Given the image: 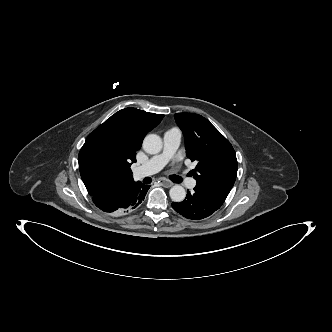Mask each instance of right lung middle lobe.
<instances>
[{"instance_id": "dd1d6c3e", "label": "right lung middle lobe", "mask_w": 332, "mask_h": 332, "mask_svg": "<svg viewBox=\"0 0 332 332\" xmlns=\"http://www.w3.org/2000/svg\"><path fill=\"white\" fill-rule=\"evenodd\" d=\"M125 148L121 126L116 122L103 123L87 137L78 161L98 176L113 178L126 167Z\"/></svg>"}]
</instances>
